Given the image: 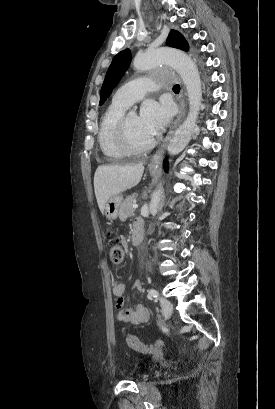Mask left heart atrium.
Wrapping results in <instances>:
<instances>
[{"mask_svg": "<svg viewBox=\"0 0 275 409\" xmlns=\"http://www.w3.org/2000/svg\"><path fill=\"white\" fill-rule=\"evenodd\" d=\"M170 110L166 106L154 101H147L142 105L140 123L144 130L152 137L159 135L167 126Z\"/></svg>", "mask_w": 275, "mask_h": 409, "instance_id": "39dd6f15", "label": "left heart atrium"}]
</instances>
